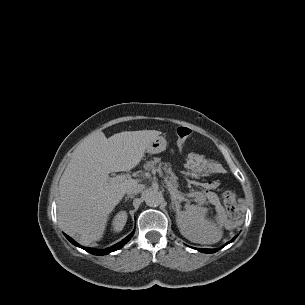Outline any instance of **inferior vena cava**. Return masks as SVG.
Listing matches in <instances>:
<instances>
[{
	"label": "inferior vena cava",
	"instance_id": "1",
	"mask_svg": "<svg viewBox=\"0 0 305 305\" xmlns=\"http://www.w3.org/2000/svg\"><path fill=\"white\" fill-rule=\"evenodd\" d=\"M143 188H144L143 184H135V185H132L129 188H127L126 193L128 195L137 194V193L141 192L143 190Z\"/></svg>",
	"mask_w": 305,
	"mask_h": 305
}]
</instances>
